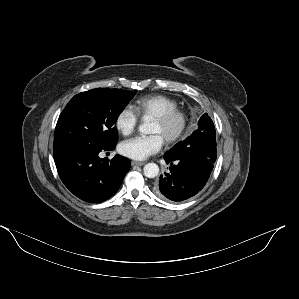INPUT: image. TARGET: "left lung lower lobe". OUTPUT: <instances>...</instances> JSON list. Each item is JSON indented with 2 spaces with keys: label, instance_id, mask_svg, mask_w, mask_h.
<instances>
[{
  "label": "left lung lower lobe",
  "instance_id": "0a47b994",
  "mask_svg": "<svg viewBox=\"0 0 299 299\" xmlns=\"http://www.w3.org/2000/svg\"><path fill=\"white\" fill-rule=\"evenodd\" d=\"M206 139L196 141L164 159L169 171L161 175L155 185L156 194L164 199L179 202L196 195L206 184L215 159Z\"/></svg>",
  "mask_w": 299,
  "mask_h": 299
}]
</instances>
